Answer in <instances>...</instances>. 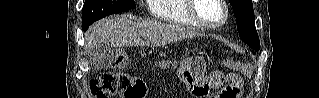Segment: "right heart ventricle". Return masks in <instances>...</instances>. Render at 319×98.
Returning a JSON list of instances; mask_svg holds the SVG:
<instances>
[{"mask_svg": "<svg viewBox=\"0 0 319 98\" xmlns=\"http://www.w3.org/2000/svg\"><path fill=\"white\" fill-rule=\"evenodd\" d=\"M149 3L152 16L160 21L201 28L188 13V0H150Z\"/></svg>", "mask_w": 319, "mask_h": 98, "instance_id": "1", "label": "right heart ventricle"}]
</instances>
